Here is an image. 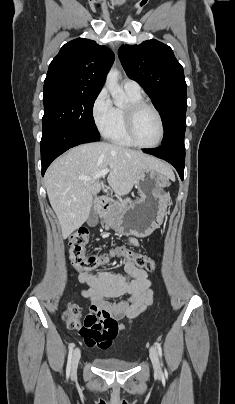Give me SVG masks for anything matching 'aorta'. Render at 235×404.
<instances>
[{"instance_id":"aorta-1","label":"aorta","mask_w":235,"mask_h":404,"mask_svg":"<svg viewBox=\"0 0 235 404\" xmlns=\"http://www.w3.org/2000/svg\"><path fill=\"white\" fill-rule=\"evenodd\" d=\"M119 71L112 68L107 74L106 86L111 93L116 106H121L124 98V91L120 88L118 84Z\"/></svg>"}]
</instances>
